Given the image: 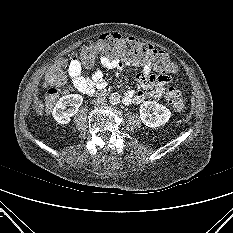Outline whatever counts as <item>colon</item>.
Masks as SVG:
<instances>
[{"mask_svg":"<svg viewBox=\"0 0 233 233\" xmlns=\"http://www.w3.org/2000/svg\"><path fill=\"white\" fill-rule=\"evenodd\" d=\"M102 53L110 57H121L126 60L151 61L159 72L166 74L173 73L176 70L174 62L165 52L149 44L141 43L134 38H123L115 33L104 34L97 43L82 46L77 51L76 56L85 66H91ZM64 79L63 61L59 60L49 70L45 81L47 87L45 107L47 111L53 108ZM165 99L175 111L179 113L184 111L185 102L178 89L169 88L166 91Z\"/></svg>","mask_w":233,"mask_h":233,"instance_id":"colon-1","label":"colon"}]
</instances>
